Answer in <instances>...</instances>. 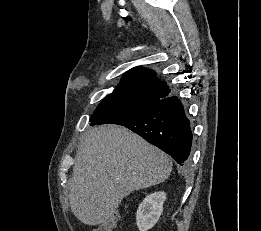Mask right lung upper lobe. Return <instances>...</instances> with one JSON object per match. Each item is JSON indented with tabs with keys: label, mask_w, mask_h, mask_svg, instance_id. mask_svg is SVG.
<instances>
[{
	"label": "right lung upper lobe",
	"mask_w": 261,
	"mask_h": 231,
	"mask_svg": "<svg viewBox=\"0 0 261 231\" xmlns=\"http://www.w3.org/2000/svg\"><path fill=\"white\" fill-rule=\"evenodd\" d=\"M131 87L145 90L157 95L160 99H164L170 94V90L165 82L160 81L153 71L140 66L127 71L116 89Z\"/></svg>",
	"instance_id": "cb5924a9"
}]
</instances>
